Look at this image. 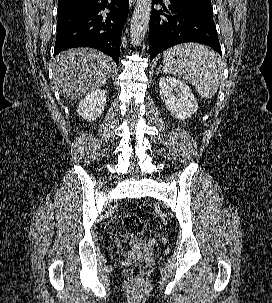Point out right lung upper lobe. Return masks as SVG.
Here are the masks:
<instances>
[{"label": "right lung upper lobe", "mask_w": 272, "mask_h": 303, "mask_svg": "<svg viewBox=\"0 0 272 303\" xmlns=\"http://www.w3.org/2000/svg\"><path fill=\"white\" fill-rule=\"evenodd\" d=\"M88 1L90 0H58L59 2L58 8L69 9L81 5L83 3H86Z\"/></svg>", "instance_id": "cb5924a9"}]
</instances>
